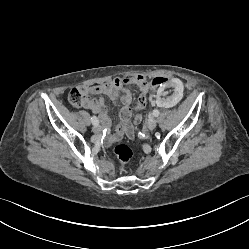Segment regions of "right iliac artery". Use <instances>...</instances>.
<instances>
[{
	"mask_svg": "<svg viewBox=\"0 0 249 249\" xmlns=\"http://www.w3.org/2000/svg\"><path fill=\"white\" fill-rule=\"evenodd\" d=\"M91 121H92V123H93L94 125H98V124H99V120L97 119L96 116H92V117H91Z\"/></svg>",
	"mask_w": 249,
	"mask_h": 249,
	"instance_id": "obj_1",
	"label": "right iliac artery"
}]
</instances>
